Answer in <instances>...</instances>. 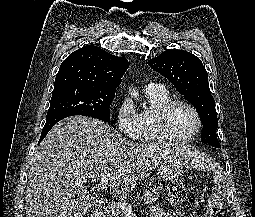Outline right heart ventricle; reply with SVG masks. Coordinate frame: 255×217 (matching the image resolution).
<instances>
[{
	"label": "right heart ventricle",
	"instance_id": "e07e8e85",
	"mask_svg": "<svg viewBox=\"0 0 255 217\" xmlns=\"http://www.w3.org/2000/svg\"><path fill=\"white\" fill-rule=\"evenodd\" d=\"M146 96L149 106L138 113L139 133L137 138L142 141L163 140L158 133L156 116L158 110L168 101L172 100L169 91L164 86L146 87Z\"/></svg>",
	"mask_w": 255,
	"mask_h": 217
}]
</instances>
